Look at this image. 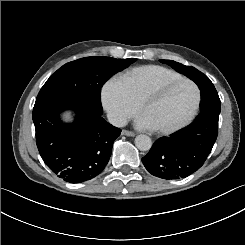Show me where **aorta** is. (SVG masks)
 I'll return each mask as SVG.
<instances>
[{"label": "aorta", "mask_w": 245, "mask_h": 245, "mask_svg": "<svg viewBox=\"0 0 245 245\" xmlns=\"http://www.w3.org/2000/svg\"><path fill=\"white\" fill-rule=\"evenodd\" d=\"M135 146L141 151H148L152 146V141L147 135H138L135 138Z\"/></svg>", "instance_id": "1"}]
</instances>
